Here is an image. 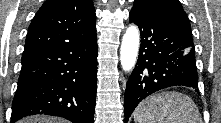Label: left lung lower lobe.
Returning <instances> with one entry per match:
<instances>
[{"mask_svg": "<svg viewBox=\"0 0 221 123\" xmlns=\"http://www.w3.org/2000/svg\"><path fill=\"white\" fill-rule=\"evenodd\" d=\"M129 19L139 26L141 45L137 66L126 86L125 122L143 99L158 90L182 85L198 92L191 34L156 20L138 5L133 6Z\"/></svg>", "mask_w": 221, "mask_h": 123, "instance_id": "left-lung-lower-lobe-1", "label": "left lung lower lobe"}]
</instances>
